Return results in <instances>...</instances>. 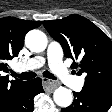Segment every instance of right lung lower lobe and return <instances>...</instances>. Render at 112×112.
<instances>
[{
    "instance_id": "right-lung-lower-lobe-1",
    "label": "right lung lower lobe",
    "mask_w": 112,
    "mask_h": 112,
    "mask_svg": "<svg viewBox=\"0 0 112 112\" xmlns=\"http://www.w3.org/2000/svg\"><path fill=\"white\" fill-rule=\"evenodd\" d=\"M44 92L41 78L25 81L16 90L12 100L2 112H33V98Z\"/></svg>"
}]
</instances>
